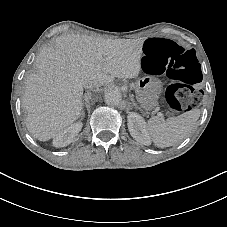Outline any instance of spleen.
I'll list each match as a JSON object with an SVG mask.
<instances>
[{"mask_svg":"<svg viewBox=\"0 0 227 227\" xmlns=\"http://www.w3.org/2000/svg\"><path fill=\"white\" fill-rule=\"evenodd\" d=\"M199 117V109L190 110L167 120L154 116L148 121L147 130L156 146L170 147L185 139Z\"/></svg>","mask_w":227,"mask_h":227,"instance_id":"spleen-1","label":"spleen"}]
</instances>
